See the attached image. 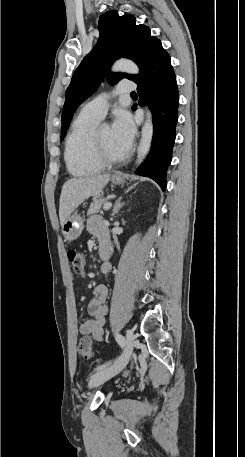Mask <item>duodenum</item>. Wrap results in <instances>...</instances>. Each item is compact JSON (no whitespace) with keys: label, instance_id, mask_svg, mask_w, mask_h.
Segmentation results:
<instances>
[{"label":"duodenum","instance_id":"duodenum-1","mask_svg":"<svg viewBox=\"0 0 245 457\" xmlns=\"http://www.w3.org/2000/svg\"><path fill=\"white\" fill-rule=\"evenodd\" d=\"M100 257L102 260L107 261L110 257V253L106 249H101L100 250Z\"/></svg>","mask_w":245,"mask_h":457}]
</instances>
